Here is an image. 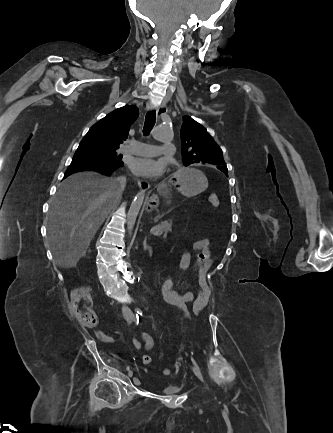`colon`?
I'll return each instance as SVG.
<instances>
[{"label": "colon", "mask_w": 333, "mask_h": 433, "mask_svg": "<svg viewBox=\"0 0 333 433\" xmlns=\"http://www.w3.org/2000/svg\"><path fill=\"white\" fill-rule=\"evenodd\" d=\"M209 202L215 208L219 207V198L216 194H211L209 196ZM166 280L162 281L159 288L162 292L160 297L163 299L164 304L170 305L173 309H177L178 312L182 313V319L186 322H191V314H189L188 303L182 298L178 297V293L173 292V281L171 280V275H166ZM71 307L75 317L78 321L86 327H94L97 324V317L92 309V299L90 296L89 289L87 287H78L71 292ZM196 324V321H193ZM142 363L145 366H150L152 364V358L149 355H144L142 357Z\"/></svg>", "instance_id": "colon-1"}]
</instances>
